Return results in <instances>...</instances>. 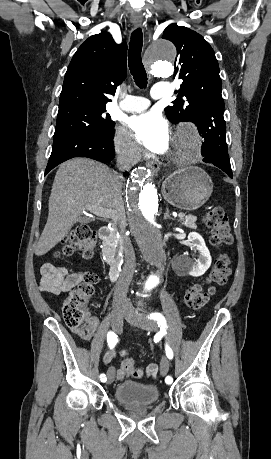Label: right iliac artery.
<instances>
[{
	"label": "right iliac artery",
	"mask_w": 271,
	"mask_h": 459,
	"mask_svg": "<svg viewBox=\"0 0 271 459\" xmlns=\"http://www.w3.org/2000/svg\"><path fill=\"white\" fill-rule=\"evenodd\" d=\"M117 337L118 336L114 332H112V331L108 332V334H107V342H108V345H109L110 349L114 348L116 343L118 342ZM100 380L102 382H105L107 380L106 375L105 374H101L100 375Z\"/></svg>",
	"instance_id": "1"
}]
</instances>
